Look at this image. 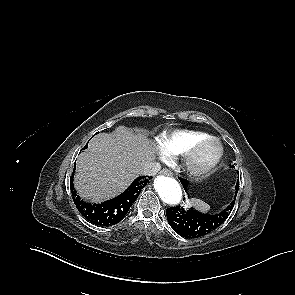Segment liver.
<instances>
[{"label":"liver","mask_w":295,"mask_h":295,"mask_svg":"<svg viewBox=\"0 0 295 295\" xmlns=\"http://www.w3.org/2000/svg\"><path fill=\"white\" fill-rule=\"evenodd\" d=\"M155 159L149 140L119 126L112 134L93 137L76 162L75 188L80 196L100 202L123 192Z\"/></svg>","instance_id":"liver-1"}]
</instances>
